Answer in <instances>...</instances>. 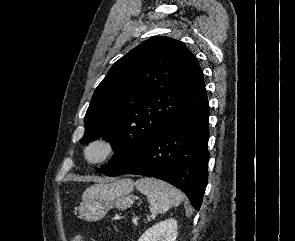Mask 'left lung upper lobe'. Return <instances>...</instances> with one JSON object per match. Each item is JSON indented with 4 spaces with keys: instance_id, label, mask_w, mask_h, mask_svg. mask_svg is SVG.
Returning <instances> with one entry per match:
<instances>
[{
    "instance_id": "5c2ea615",
    "label": "left lung upper lobe",
    "mask_w": 295,
    "mask_h": 241,
    "mask_svg": "<svg viewBox=\"0 0 295 241\" xmlns=\"http://www.w3.org/2000/svg\"><path fill=\"white\" fill-rule=\"evenodd\" d=\"M207 99L195 56L178 40L152 37L111 67L96 88L81 144L103 137L116 151L96 169L108 175L156 133Z\"/></svg>"
}]
</instances>
